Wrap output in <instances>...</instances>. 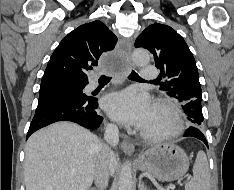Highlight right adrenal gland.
<instances>
[{
	"mask_svg": "<svg viewBox=\"0 0 234 190\" xmlns=\"http://www.w3.org/2000/svg\"><path fill=\"white\" fill-rule=\"evenodd\" d=\"M89 190H96V188H91V189H89Z\"/></svg>",
	"mask_w": 234,
	"mask_h": 190,
	"instance_id": "obj_1",
	"label": "right adrenal gland"
}]
</instances>
